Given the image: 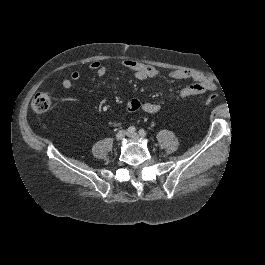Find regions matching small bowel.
Returning <instances> with one entry per match:
<instances>
[{"label": "small bowel", "instance_id": "c3829d8e", "mask_svg": "<svg viewBox=\"0 0 265 265\" xmlns=\"http://www.w3.org/2000/svg\"><path fill=\"white\" fill-rule=\"evenodd\" d=\"M121 65L132 70L134 76L139 80H145L148 78H155L160 76L162 73L155 67L137 61L133 59H126L121 62ZM88 68L93 70L98 76H104L106 74V67L99 61H94L89 64ZM81 73L78 70L71 72L69 78H65L62 81V86L65 89H70L74 81L78 80ZM168 76L174 79H188L194 83L183 88L180 93V98H187L194 95L203 94L206 91L215 89L213 81L207 76L191 70H174L168 73ZM127 109L131 112L136 110H143L149 114H155L162 110V105L156 102H145L139 98L133 97L127 100Z\"/></svg>", "mask_w": 265, "mask_h": 265}]
</instances>
